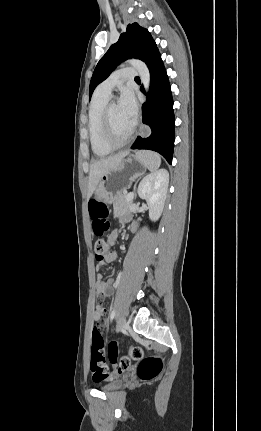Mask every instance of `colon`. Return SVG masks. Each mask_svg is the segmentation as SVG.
Instances as JSON below:
<instances>
[{"label":"colon","instance_id":"5ec220e1","mask_svg":"<svg viewBox=\"0 0 261 431\" xmlns=\"http://www.w3.org/2000/svg\"><path fill=\"white\" fill-rule=\"evenodd\" d=\"M89 212L93 219V230L98 239L94 243V254L96 260L102 261L107 255L111 253V249L107 241L101 236L109 229V222L107 221V208L104 204L92 200L89 204ZM97 325L92 334V348H91V380L95 385L106 383L112 380L116 382L121 373H126L129 370L131 360L139 361L138 375L144 381H150L156 378L163 367L162 359L160 357H144V351L140 347L132 346L129 349L128 356H120L118 344L110 342L107 347V356L112 364H106L104 342L102 334H99Z\"/></svg>","mask_w":261,"mask_h":431}]
</instances>
